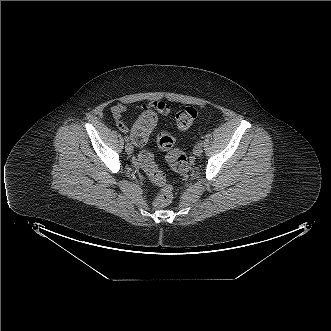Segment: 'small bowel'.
<instances>
[{"label":"small bowel","mask_w":331,"mask_h":331,"mask_svg":"<svg viewBox=\"0 0 331 331\" xmlns=\"http://www.w3.org/2000/svg\"><path fill=\"white\" fill-rule=\"evenodd\" d=\"M143 109H151V110L157 111L158 113H160L162 115H167L171 112L170 106L161 100H153L147 106H145ZM127 110H128V106L126 104L118 103L112 107L111 113L115 120L117 128L121 132H124V133L130 132L131 137H132V135L134 133V126L132 128H130L122 119L123 114L126 113ZM138 146H141V145H138ZM143 154H150V153L142 152L138 158V160L140 162H141V157Z\"/></svg>","instance_id":"obj_1"}]
</instances>
